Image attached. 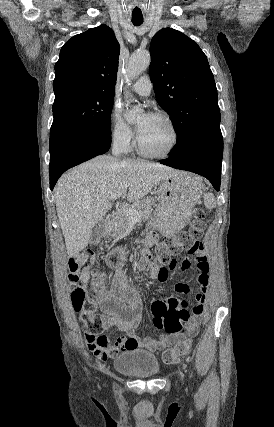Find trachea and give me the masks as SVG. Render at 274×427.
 <instances>
[{
  "instance_id": "obj_1",
  "label": "trachea",
  "mask_w": 274,
  "mask_h": 427,
  "mask_svg": "<svg viewBox=\"0 0 274 427\" xmlns=\"http://www.w3.org/2000/svg\"><path fill=\"white\" fill-rule=\"evenodd\" d=\"M132 23L136 26L142 25L143 19H132Z\"/></svg>"
}]
</instances>
